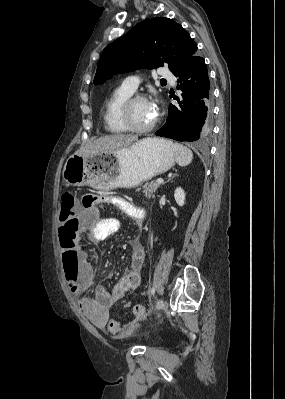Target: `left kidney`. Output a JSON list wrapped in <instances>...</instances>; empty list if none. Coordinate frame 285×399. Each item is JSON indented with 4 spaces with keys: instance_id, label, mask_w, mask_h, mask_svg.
Segmentation results:
<instances>
[{
    "instance_id": "1",
    "label": "left kidney",
    "mask_w": 285,
    "mask_h": 399,
    "mask_svg": "<svg viewBox=\"0 0 285 399\" xmlns=\"http://www.w3.org/2000/svg\"><path fill=\"white\" fill-rule=\"evenodd\" d=\"M174 198H175L176 203L179 206H184V204H185V192H184V190L181 187L176 188V190L174 192Z\"/></svg>"
}]
</instances>
